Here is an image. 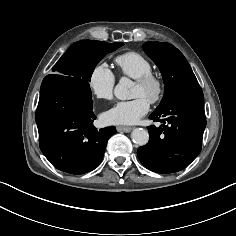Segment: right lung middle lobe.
Segmentation results:
<instances>
[{"label": "right lung middle lobe", "mask_w": 236, "mask_h": 236, "mask_svg": "<svg viewBox=\"0 0 236 236\" xmlns=\"http://www.w3.org/2000/svg\"><path fill=\"white\" fill-rule=\"evenodd\" d=\"M123 43H106L82 40L74 43L53 66V74L45 78L64 77L77 87L91 93L89 81L97 63L108 53L115 51ZM44 78V79H45Z\"/></svg>", "instance_id": "1"}]
</instances>
